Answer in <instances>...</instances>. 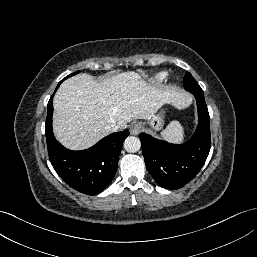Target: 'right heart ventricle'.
<instances>
[{"label": "right heart ventricle", "instance_id": "obj_1", "mask_svg": "<svg viewBox=\"0 0 257 257\" xmlns=\"http://www.w3.org/2000/svg\"><path fill=\"white\" fill-rule=\"evenodd\" d=\"M166 76H167V74L162 72V73L157 74L155 78L158 81H162V80H164L166 78Z\"/></svg>", "mask_w": 257, "mask_h": 257}]
</instances>
